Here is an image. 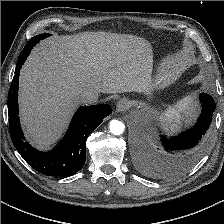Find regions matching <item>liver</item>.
<instances>
[{
  "mask_svg": "<svg viewBox=\"0 0 224 224\" xmlns=\"http://www.w3.org/2000/svg\"><path fill=\"white\" fill-rule=\"evenodd\" d=\"M153 52L141 37L108 32L54 36L31 52L19 78L25 135L46 148L63 133L86 91L140 92L151 77Z\"/></svg>",
  "mask_w": 224,
  "mask_h": 224,
  "instance_id": "liver-1",
  "label": "liver"
}]
</instances>
